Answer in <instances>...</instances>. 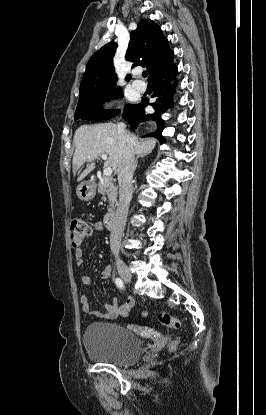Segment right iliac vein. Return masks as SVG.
Segmentation results:
<instances>
[{"label":"right iliac vein","instance_id":"right-iliac-vein-1","mask_svg":"<svg viewBox=\"0 0 266 415\" xmlns=\"http://www.w3.org/2000/svg\"><path fill=\"white\" fill-rule=\"evenodd\" d=\"M117 269H118L119 275L125 282L131 281L132 275L128 267L120 260L117 261Z\"/></svg>","mask_w":266,"mask_h":415}]
</instances>
